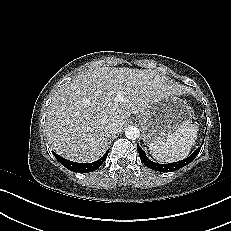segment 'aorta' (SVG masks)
Wrapping results in <instances>:
<instances>
[{"label": "aorta", "mask_w": 231, "mask_h": 231, "mask_svg": "<svg viewBox=\"0 0 231 231\" xmlns=\"http://www.w3.org/2000/svg\"><path fill=\"white\" fill-rule=\"evenodd\" d=\"M125 136L130 140H136L140 136V131L136 126H129L125 131Z\"/></svg>", "instance_id": "aorta-1"}]
</instances>
